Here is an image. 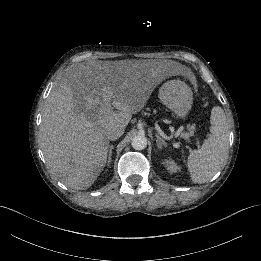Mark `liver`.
<instances>
[{"instance_id": "6515ba94", "label": "liver", "mask_w": 261, "mask_h": 261, "mask_svg": "<svg viewBox=\"0 0 261 261\" xmlns=\"http://www.w3.org/2000/svg\"><path fill=\"white\" fill-rule=\"evenodd\" d=\"M162 67L106 62L69 69L47 97L40 123L39 139L50 173L72 189L89 188L107 161V133L125 128L132 114L145 106L163 80Z\"/></svg>"}]
</instances>
